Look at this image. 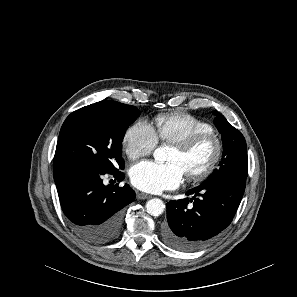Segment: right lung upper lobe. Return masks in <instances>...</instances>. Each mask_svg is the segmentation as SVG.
<instances>
[{"label": "right lung upper lobe", "mask_w": 297, "mask_h": 297, "mask_svg": "<svg viewBox=\"0 0 297 297\" xmlns=\"http://www.w3.org/2000/svg\"><path fill=\"white\" fill-rule=\"evenodd\" d=\"M113 102L114 101H100L95 104H92L91 106H108V105L113 104Z\"/></svg>", "instance_id": "cb5924a9"}]
</instances>
